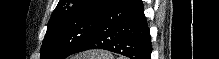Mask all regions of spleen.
<instances>
[{"mask_svg": "<svg viewBox=\"0 0 219 59\" xmlns=\"http://www.w3.org/2000/svg\"><path fill=\"white\" fill-rule=\"evenodd\" d=\"M87 59H108L107 56L101 54L100 52H93L85 54Z\"/></svg>", "mask_w": 219, "mask_h": 59, "instance_id": "3e777b00", "label": "spleen"}]
</instances>
